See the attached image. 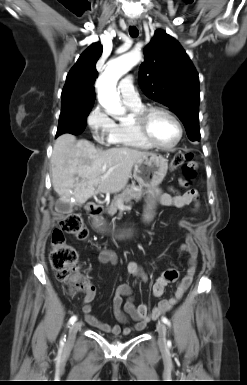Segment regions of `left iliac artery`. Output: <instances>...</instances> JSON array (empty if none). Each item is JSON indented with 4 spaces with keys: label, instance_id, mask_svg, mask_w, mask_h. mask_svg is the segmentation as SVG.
<instances>
[{
    "label": "left iliac artery",
    "instance_id": "left-iliac-artery-1",
    "mask_svg": "<svg viewBox=\"0 0 247 385\" xmlns=\"http://www.w3.org/2000/svg\"><path fill=\"white\" fill-rule=\"evenodd\" d=\"M162 321L166 324V325H168V326H170V321L166 318V317H162Z\"/></svg>",
    "mask_w": 247,
    "mask_h": 385
}]
</instances>
